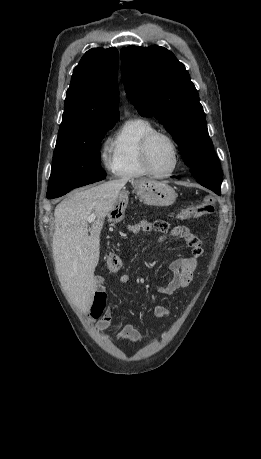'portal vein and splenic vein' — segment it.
Returning <instances> with one entry per match:
<instances>
[{
	"label": "portal vein and splenic vein",
	"mask_w": 261,
	"mask_h": 459,
	"mask_svg": "<svg viewBox=\"0 0 261 459\" xmlns=\"http://www.w3.org/2000/svg\"><path fill=\"white\" fill-rule=\"evenodd\" d=\"M96 216L94 214H91L87 218V222L90 224L95 220Z\"/></svg>",
	"instance_id": "1"
}]
</instances>
